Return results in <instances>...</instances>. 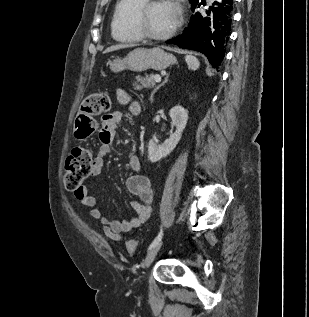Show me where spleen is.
Wrapping results in <instances>:
<instances>
[{"label":"spleen","mask_w":309,"mask_h":317,"mask_svg":"<svg viewBox=\"0 0 309 317\" xmlns=\"http://www.w3.org/2000/svg\"><path fill=\"white\" fill-rule=\"evenodd\" d=\"M185 61L188 65V68L191 70H197L200 66L198 59L194 57L193 55H186Z\"/></svg>","instance_id":"3e777b00"}]
</instances>
